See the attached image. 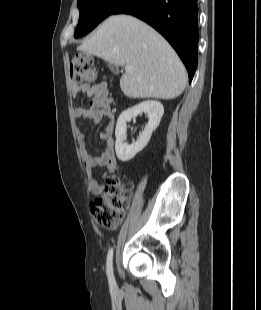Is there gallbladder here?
I'll list each match as a JSON object with an SVG mask.
<instances>
[{
	"instance_id": "1",
	"label": "gallbladder",
	"mask_w": 261,
	"mask_h": 310,
	"mask_svg": "<svg viewBox=\"0 0 261 310\" xmlns=\"http://www.w3.org/2000/svg\"><path fill=\"white\" fill-rule=\"evenodd\" d=\"M109 67L113 72L118 73V68L115 65L110 64Z\"/></svg>"
}]
</instances>
